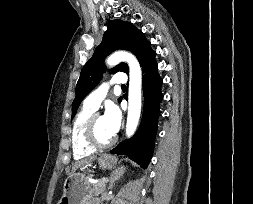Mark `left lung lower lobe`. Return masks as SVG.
Listing matches in <instances>:
<instances>
[{
	"label": "left lung lower lobe",
	"mask_w": 253,
	"mask_h": 204,
	"mask_svg": "<svg viewBox=\"0 0 253 204\" xmlns=\"http://www.w3.org/2000/svg\"><path fill=\"white\" fill-rule=\"evenodd\" d=\"M155 55L156 52L150 48L141 64L144 111L140 127L134 137L118 144L110 151L112 154L127 155L143 168H147L152 157L158 127L157 120L160 114L159 106L163 99L161 93L162 79L158 74Z\"/></svg>",
	"instance_id": "1"
}]
</instances>
